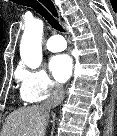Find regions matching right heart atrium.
Masks as SVG:
<instances>
[{"label":"right heart atrium","mask_w":117,"mask_h":136,"mask_svg":"<svg viewBox=\"0 0 117 136\" xmlns=\"http://www.w3.org/2000/svg\"><path fill=\"white\" fill-rule=\"evenodd\" d=\"M17 77L21 83V97L27 103L41 102L62 94L61 86L44 69H19Z\"/></svg>","instance_id":"d8ad5b80"}]
</instances>
